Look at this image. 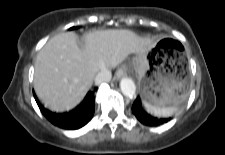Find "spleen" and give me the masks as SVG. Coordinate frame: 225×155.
<instances>
[{
    "label": "spleen",
    "mask_w": 225,
    "mask_h": 155,
    "mask_svg": "<svg viewBox=\"0 0 225 155\" xmlns=\"http://www.w3.org/2000/svg\"><path fill=\"white\" fill-rule=\"evenodd\" d=\"M143 106L147 112H149L150 114H153L154 116H158V117H168V116L174 114L178 110V107L176 105L166 106V107H158V106H153L149 103L143 102Z\"/></svg>",
    "instance_id": "obj_1"
}]
</instances>
